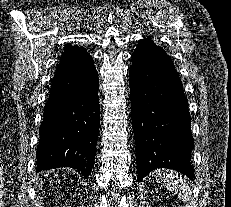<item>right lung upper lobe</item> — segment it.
<instances>
[{
	"label": "right lung upper lobe",
	"instance_id": "right-lung-upper-lobe-1",
	"mask_svg": "<svg viewBox=\"0 0 231 207\" xmlns=\"http://www.w3.org/2000/svg\"><path fill=\"white\" fill-rule=\"evenodd\" d=\"M90 55L83 47L65 46L64 53L60 57L59 66L65 69L75 68V66L85 61Z\"/></svg>",
	"mask_w": 231,
	"mask_h": 207
}]
</instances>
